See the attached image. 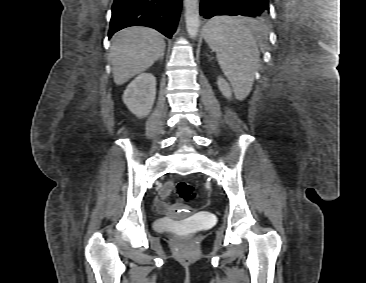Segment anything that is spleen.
Returning <instances> with one entry per match:
<instances>
[{"mask_svg": "<svg viewBox=\"0 0 366 283\" xmlns=\"http://www.w3.org/2000/svg\"><path fill=\"white\" fill-rule=\"evenodd\" d=\"M261 29L255 21L215 17L205 27V41L216 51L217 60L236 97L245 99L253 85L260 61L257 47Z\"/></svg>", "mask_w": 366, "mask_h": 283, "instance_id": "3e777b00", "label": "spleen"}]
</instances>
